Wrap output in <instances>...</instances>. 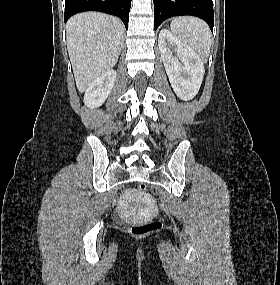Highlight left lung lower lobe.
<instances>
[{"instance_id": "obj_1", "label": "left lung lower lobe", "mask_w": 280, "mask_h": 285, "mask_svg": "<svg viewBox=\"0 0 280 285\" xmlns=\"http://www.w3.org/2000/svg\"><path fill=\"white\" fill-rule=\"evenodd\" d=\"M154 29L172 16L192 15L205 20L211 31L214 26L212 0H153Z\"/></svg>"}]
</instances>
